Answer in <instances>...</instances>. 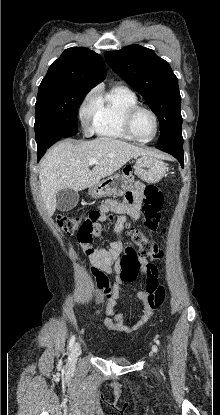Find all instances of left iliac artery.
I'll return each mask as SVG.
<instances>
[{"label":"left iliac artery","instance_id":"obj_1","mask_svg":"<svg viewBox=\"0 0 220 415\" xmlns=\"http://www.w3.org/2000/svg\"><path fill=\"white\" fill-rule=\"evenodd\" d=\"M156 343H157V344H159V341H158V340H156Z\"/></svg>","mask_w":220,"mask_h":415}]
</instances>
